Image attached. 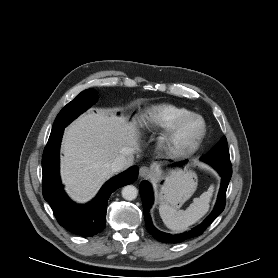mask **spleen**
<instances>
[{"label": "spleen", "instance_id": "obj_1", "mask_svg": "<svg viewBox=\"0 0 278 278\" xmlns=\"http://www.w3.org/2000/svg\"><path fill=\"white\" fill-rule=\"evenodd\" d=\"M213 191L214 187L210 186L208 191L195 198L186 210H176L168 204H161L159 213L164 224L175 232L187 230L208 212Z\"/></svg>", "mask_w": 278, "mask_h": 278}]
</instances>
